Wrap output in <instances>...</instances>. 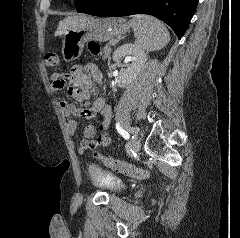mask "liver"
I'll return each instance as SVG.
<instances>
[{
    "instance_id": "6515ba94",
    "label": "liver",
    "mask_w": 240,
    "mask_h": 238,
    "mask_svg": "<svg viewBox=\"0 0 240 238\" xmlns=\"http://www.w3.org/2000/svg\"><path fill=\"white\" fill-rule=\"evenodd\" d=\"M87 19L88 17L84 15L66 17L62 21H60L55 34L62 35L70 29L77 28Z\"/></svg>"
}]
</instances>
